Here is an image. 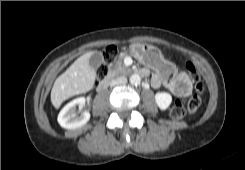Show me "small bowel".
Instances as JSON below:
<instances>
[{
	"label": "small bowel",
	"instance_id": "1",
	"mask_svg": "<svg viewBox=\"0 0 245 170\" xmlns=\"http://www.w3.org/2000/svg\"><path fill=\"white\" fill-rule=\"evenodd\" d=\"M143 75H148L147 70H142ZM186 76L184 73L178 71L176 67H174L170 63H163L157 71L151 76L150 84L153 88H159L162 85L166 87L168 90H174L173 84L177 80H185Z\"/></svg>",
	"mask_w": 245,
	"mask_h": 170
}]
</instances>
